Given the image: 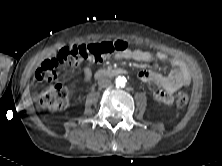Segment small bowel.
<instances>
[{
    "label": "small bowel",
    "mask_w": 222,
    "mask_h": 166,
    "mask_svg": "<svg viewBox=\"0 0 222 166\" xmlns=\"http://www.w3.org/2000/svg\"><path fill=\"white\" fill-rule=\"evenodd\" d=\"M114 57L116 59H133L139 62H149L154 58V54L147 50H131L127 48L125 51L116 54ZM156 58L160 61H169L171 63L172 70L170 73L167 76H163L153 71L142 70L139 72L138 76L142 81L155 83L160 87V90L154 94L155 100L164 104H172L174 100V92L190 84V72L182 60L171 58L164 52H157ZM91 74V69L85 67L83 70L84 80H89Z\"/></svg>",
    "instance_id": "c3829d8e"
}]
</instances>
